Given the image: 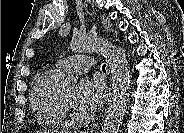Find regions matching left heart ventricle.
<instances>
[{
  "label": "left heart ventricle",
  "mask_w": 184,
  "mask_h": 133,
  "mask_svg": "<svg viewBox=\"0 0 184 133\" xmlns=\"http://www.w3.org/2000/svg\"><path fill=\"white\" fill-rule=\"evenodd\" d=\"M64 99L68 102V104L74 108V105H73V95H74V89L73 87L71 88H67L65 90H62L61 91Z\"/></svg>",
  "instance_id": "left-heart-ventricle-1"
}]
</instances>
